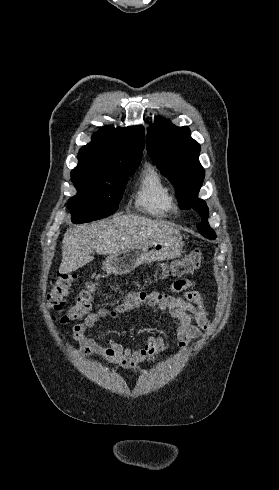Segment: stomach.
Here are the masks:
<instances>
[{
  "label": "stomach",
  "instance_id": "stomach-1",
  "mask_svg": "<svg viewBox=\"0 0 279 490\" xmlns=\"http://www.w3.org/2000/svg\"><path fill=\"white\" fill-rule=\"evenodd\" d=\"M182 248L181 236L155 238V240L140 244L136 248H126L118 254H111L104 260L102 270L109 272V274H115V276H123V274H130L141 264L180 258Z\"/></svg>",
  "mask_w": 279,
  "mask_h": 490
}]
</instances>
